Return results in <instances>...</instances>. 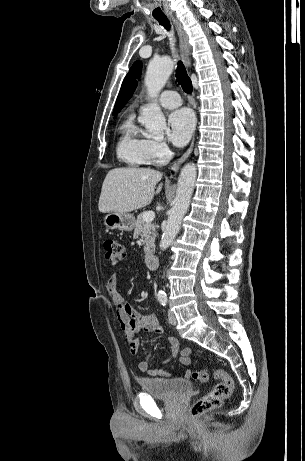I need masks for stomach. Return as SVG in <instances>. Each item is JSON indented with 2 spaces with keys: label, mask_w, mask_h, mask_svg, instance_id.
<instances>
[{
  "label": "stomach",
  "mask_w": 305,
  "mask_h": 461,
  "mask_svg": "<svg viewBox=\"0 0 305 461\" xmlns=\"http://www.w3.org/2000/svg\"><path fill=\"white\" fill-rule=\"evenodd\" d=\"M104 225L108 229H118L130 232L135 226V218L128 213L109 212L103 219Z\"/></svg>",
  "instance_id": "0dacf381"
}]
</instances>
